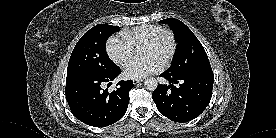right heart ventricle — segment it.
<instances>
[{
	"mask_svg": "<svg viewBox=\"0 0 276 138\" xmlns=\"http://www.w3.org/2000/svg\"><path fill=\"white\" fill-rule=\"evenodd\" d=\"M164 29L160 25L146 24L122 32V36L134 47L143 46L156 33Z\"/></svg>",
	"mask_w": 276,
	"mask_h": 138,
	"instance_id": "1",
	"label": "right heart ventricle"
}]
</instances>
